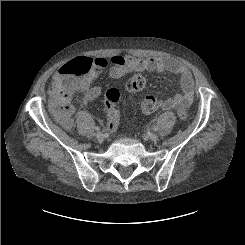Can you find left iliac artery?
Listing matches in <instances>:
<instances>
[{
    "label": "left iliac artery",
    "instance_id": "44dca946",
    "mask_svg": "<svg viewBox=\"0 0 245 245\" xmlns=\"http://www.w3.org/2000/svg\"><path fill=\"white\" fill-rule=\"evenodd\" d=\"M153 131H158V127L157 126L153 127Z\"/></svg>",
    "mask_w": 245,
    "mask_h": 245
}]
</instances>
